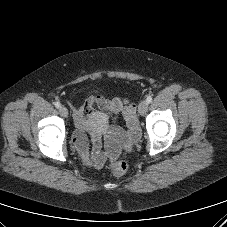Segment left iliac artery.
<instances>
[{"label":"left iliac artery","instance_id":"left-iliac-artery-1","mask_svg":"<svg viewBox=\"0 0 227 227\" xmlns=\"http://www.w3.org/2000/svg\"><path fill=\"white\" fill-rule=\"evenodd\" d=\"M151 101H152V97H151V96H147L146 102H147V103H151Z\"/></svg>","mask_w":227,"mask_h":227}]
</instances>
